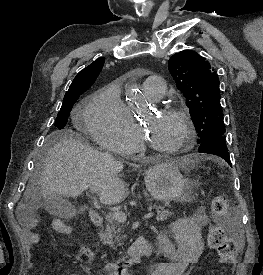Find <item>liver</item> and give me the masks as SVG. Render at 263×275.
Masks as SVG:
<instances>
[{"instance_id":"liver-1","label":"liver","mask_w":263,"mask_h":275,"mask_svg":"<svg viewBox=\"0 0 263 275\" xmlns=\"http://www.w3.org/2000/svg\"><path fill=\"white\" fill-rule=\"evenodd\" d=\"M44 168L39 177L40 190L34 195L28 186L23 200L17 207L19 212L37 207L41 197L60 195L77 197L88 188H94L100 201L107 205L118 204L128 196L123 180L118 176L123 170L121 161L108 153L99 152L83 142L72 130L57 131L49 141ZM192 156L178 159L176 163H193Z\"/></svg>"}]
</instances>
